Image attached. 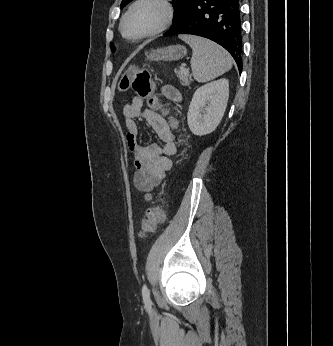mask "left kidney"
<instances>
[{"label": "left kidney", "instance_id": "1", "mask_svg": "<svg viewBox=\"0 0 333 346\" xmlns=\"http://www.w3.org/2000/svg\"><path fill=\"white\" fill-rule=\"evenodd\" d=\"M228 97L227 79L212 81L195 91L187 115L189 129L194 135H207L216 129L225 113Z\"/></svg>", "mask_w": 333, "mask_h": 346}]
</instances>
